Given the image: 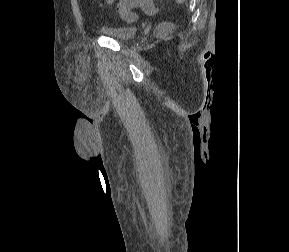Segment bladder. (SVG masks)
<instances>
[{
  "label": "bladder",
  "mask_w": 289,
  "mask_h": 252,
  "mask_svg": "<svg viewBox=\"0 0 289 252\" xmlns=\"http://www.w3.org/2000/svg\"><path fill=\"white\" fill-rule=\"evenodd\" d=\"M99 31L106 37L123 41L132 39L136 34L133 26H104Z\"/></svg>",
  "instance_id": "1"
}]
</instances>
